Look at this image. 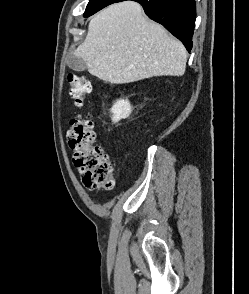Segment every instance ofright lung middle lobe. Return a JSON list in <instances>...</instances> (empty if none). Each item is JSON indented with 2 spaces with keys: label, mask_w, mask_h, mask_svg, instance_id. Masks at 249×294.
<instances>
[{
  "label": "right lung middle lobe",
  "mask_w": 249,
  "mask_h": 294,
  "mask_svg": "<svg viewBox=\"0 0 249 294\" xmlns=\"http://www.w3.org/2000/svg\"><path fill=\"white\" fill-rule=\"evenodd\" d=\"M116 1L117 0H90L84 12V17H89L102 8L106 7L107 5L112 4Z\"/></svg>",
  "instance_id": "dd1d6c3e"
}]
</instances>
